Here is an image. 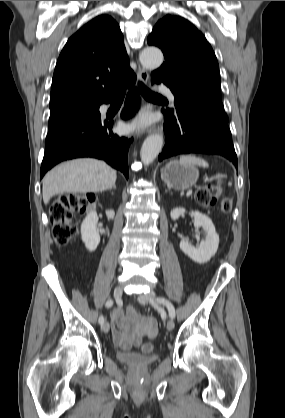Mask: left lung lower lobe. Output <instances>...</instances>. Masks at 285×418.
Here are the masks:
<instances>
[{"mask_svg": "<svg viewBox=\"0 0 285 418\" xmlns=\"http://www.w3.org/2000/svg\"><path fill=\"white\" fill-rule=\"evenodd\" d=\"M163 113L165 146L159 161L179 154L207 153L222 155L237 168V156L224 111L190 103L180 106L174 114L164 110Z\"/></svg>", "mask_w": 285, "mask_h": 418, "instance_id": "0a47b994", "label": "left lung lower lobe"}]
</instances>
